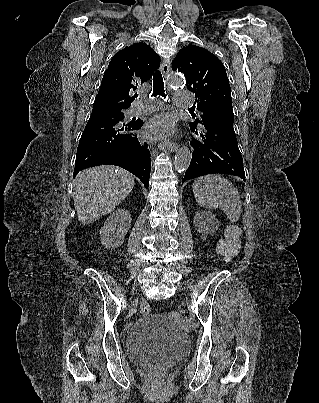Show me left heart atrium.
<instances>
[{
	"label": "left heart atrium",
	"mask_w": 319,
	"mask_h": 403,
	"mask_svg": "<svg viewBox=\"0 0 319 403\" xmlns=\"http://www.w3.org/2000/svg\"><path fill=\"white\" fill-rule=\"evenodd\" d=\"M175 131L173 118L165 113L153 117L146 126V134L150 137L170 136Z\"/></svg>",
	"instance_id": "obj_1"
}]
</instances>
